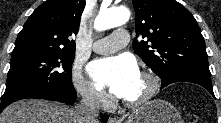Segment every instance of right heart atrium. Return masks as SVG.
Returning <instances> with one entry per match:
<instances>
[{"mask_svg": "<svg viewBox=\"0 0 221 123\" xmlns=\"http://www.w3.org/2000/svg\"><path fill=\"white\" fill-rule=\"evenodd\" d=\"M72 80L76 91L86 103L99 107L110 105V97L87 80L78 66L73 69Z\"/></svg>", "mask_w": 221, "mask_h": 123, "instance_id": "right-heart-atrium-1", "label": "right heart atrium"}]
</instances>
